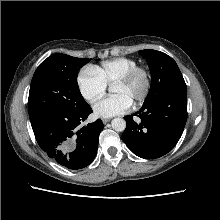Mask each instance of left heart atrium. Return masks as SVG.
<instances>
[{
  "label": "left heart atrium",
  "mask_w": 220,
  "mask_h": 220,
  "mask_svg": "<svg viewBox=\"0 0 220 220\" xmlns=\"http://www.w3.org/2000/svg\"><path fill=\"white\" fill-rule=\"evenodd\" d=\"M132 101L124 95H113L98 100L93 105V112L97 117L109 118L127 112Z\"/></svg>",
  "instance_id": "obj_1"
}]
</instances>
